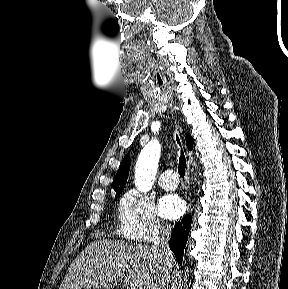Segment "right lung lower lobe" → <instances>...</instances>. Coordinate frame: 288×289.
I'll return each mask as SVG.
<instances>
[{
  "label": "right lung lower lobe",
  "instance_id": "1",
  "mask_svg": "<svg viewBox=\"0 0 288 289\" xmlns=\"http://www.w3.org/2000/svg\"><path fill=\"white\" fill-rule=\"evenodd\" d=\"M191 215H186L181 222H178L172 231L169 241V247L173 251L177 261L181 264L183 260V251L188 240L191 229Z\"/></svg>",
  "mask_w": 288,
  "mask_h": 289
}]
</instances>
